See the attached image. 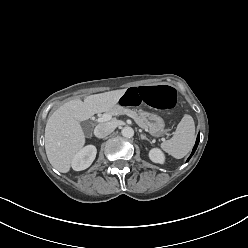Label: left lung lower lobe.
<instances>
[{
    "mask_svg": "<svg viewBox=\"0 0 248 248\" xmlns=\"http://www.w3.org/2000/svg\"><path fill=\"white\" fill-rule=\"evenodd\" d=\"M199 138H200V136L198 135V136H197L196 143H195V146H194L193 151H192V154H191V155H190V157L187 159V161H189V160H190V158L192 157V155H193V154H194V152L196 151L197 146H198V143H199Z\"/></svg>",
    "mask_w": 248,
    "mask_h": 248,
    "instance_id": "left-lung-lower-lobe-1",
    "label": "left lung lower lobe"
}]
</instances>
